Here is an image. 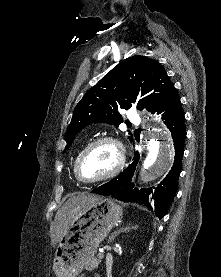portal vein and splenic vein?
<instances>
[{
	"instance_id": "1",
	"label": "portal vein and splenic vein",
	"mask_w": 221,
	"mask_h": 277,
	"mask_svg": "<svg viewBox=\"0 0 221 277\" xmlns=\"http://www.w3.org/2000/svg\"><path fill=\"white\" fill-rule=\"evenodd\" d=\"M98 256H99L100 258L104 257V255H103L102 252H99V253H98Z\"/></svg>"
}]
</instances>
